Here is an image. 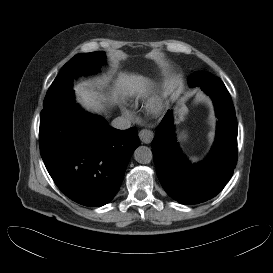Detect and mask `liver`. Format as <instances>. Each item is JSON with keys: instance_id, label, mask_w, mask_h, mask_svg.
Here are the masks:
<instances>
[{"instance_id": "6515ba94", "label": "liver", "mask_w": 273, "mask_h": 273, "mask_svg": "<svg viewBox=\"0 0 273 273\" xmlns=\"http://www.w3.org/2000/svg\"><path fill=\"white\" fill-rule=\"evenodd\" d=\"M149 82L142 76L120 74L113 89L111 96L107 97L104 93L99 92L87 84H77L74 89L78 95V101L87 110L95 113L104 112L107 102H117L119 95H133L140 93L147 95L149 93Z\"/></svg>"}]
</instances>
